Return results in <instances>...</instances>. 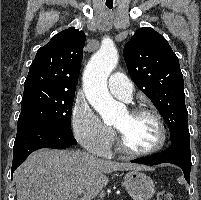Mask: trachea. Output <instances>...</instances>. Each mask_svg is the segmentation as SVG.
<instances>
[{
	"label": "trachea",
	"mask_w": 201,
	"mask_h": 200,
	"mask_svg": "<svg viewBox=\"0 0 201 200\" xmlns=\"http://www.w3.org/2000/svg\"><path fill=\"white\" fill-rule=\"evenodd\" d=\"M109 9H112V6H107Z\"/></svg>",
	"instance_id": "trachea-1"
}]
</instances>
